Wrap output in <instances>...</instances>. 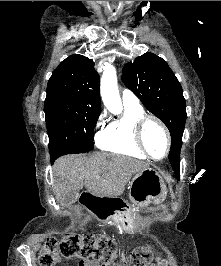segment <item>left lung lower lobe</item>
Instances as JSON below:
<instances>
[{
    "instance_id": "0a47b994",
    "label": "left lung lower lobe",
    "mask_w": 221,
    "mask_h": 266,
    "mask_svg": "<svg viewBox=\"0 0 221 266\" xmlns=\"http://www.w3.org/2000/svg\"><path fill=\"white\" fill-rule=\"evenodd\" d=\"M172 168H173V171L175 173V176L177 177V179H179L180 178V167H179V165L172 166Z\"/></svg>"
}]
</instances>
